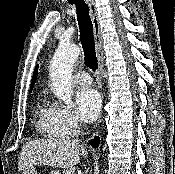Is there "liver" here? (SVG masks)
<instances>
[{"mask_svg":"<svg viewBox=\"0 0 175 174\" xmlns=\"http://www.w3.org/2000/svg\"><path fill=\"white\" fill-rule=\"evenodd\" d=\"M80 155L86 157L88 152L76 140L68 138L33 140L23 145L18 169L23 171L37 164L71 168L79 162Z\"/></svg>","mask_w":175,"mask_h":174,"instance_id":"6515ba94","label":"liver"}]
</instances>
